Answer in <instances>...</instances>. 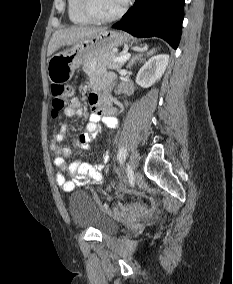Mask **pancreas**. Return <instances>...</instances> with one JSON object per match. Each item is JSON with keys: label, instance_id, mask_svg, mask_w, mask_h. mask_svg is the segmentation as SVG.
<instances>
[{"label": "pancreas", "instance_id": "cf45deb5", "mask_svg": "<svg viewBox=\"0 0 233 284\" xmlns=\"http://www.w3.org/2000/svg\"><path fill=\"white\" fill-rule=\"evenodd\" d=\"M118 56L119 54L116 52H108L102 54L99 57L84 64L82 69L89 76L100 75L102 73H105L107 69L119 70L124 65V62H115L114 58Z\"/></svg>", "mask_w": 233, "mask_h": 284}]
</instances>
